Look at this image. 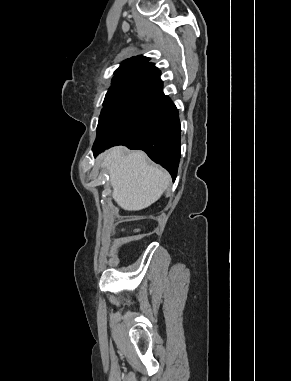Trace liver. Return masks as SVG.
Listing matches in <instances>:
<instances>
[{
    "instance_id": "6515ba94",
    "label": "liver",
    "mask_w": 291,
    "mask_h": 381,
    "mask_svg": "<svg viewBox=\"0 0 291 381\" xmlns=\"http://www.w3.org/2000/svg\"><path fill=\"white\" fill-rule=\"evenodd\" d=\"M110 174L112 197L124 210L138 211L156 202L168 188L170 175L150 165L142 151L109 150L101 163Z\"/></svg>"
}]
</instances>
